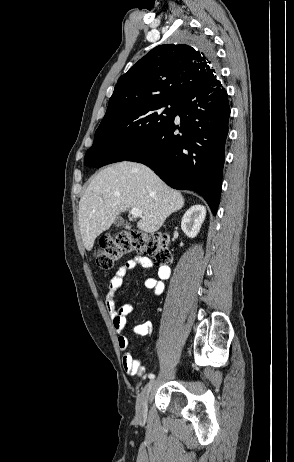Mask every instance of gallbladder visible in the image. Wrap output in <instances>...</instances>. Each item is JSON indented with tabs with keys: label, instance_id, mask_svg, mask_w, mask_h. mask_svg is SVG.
<instances>
[{
	"label": "gallbladder",
	"instance_id": "bac80fb5",
	"mask_svg": "<svg viewBox=\"0 0 294 462\" xmlns=\"http://www.w3.org/2000/svg\"><path fill=\"white\" fill-rule=\"evenodd\" d=\"M124 224V220L121 217H117L114 221V225L116 227H120Z\"/></svg>",
	"mask_w": 294,
	"mask_h": 462
}]
</instances>
